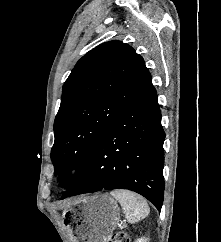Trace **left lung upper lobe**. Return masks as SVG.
<instances>
[{"mask_svg": "<svg viewBox=\"0 0 221 242\" xmlns=\"http://www.w3.org/2000/svg\"><path fill=\"white\" fill-rule=\"evenodd\" d=\"M151 85L143 58L121 41L103 43L77 62L63 86L51 150L66 189L79 180L107 128ZM74 167L79 173L70 177Z\"/></svg>", "mask_w": 221, "mask_h": 242, "instance_id": "1", "label": "left lung upper lobe"}]
</instances>
